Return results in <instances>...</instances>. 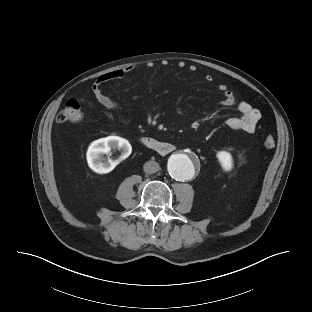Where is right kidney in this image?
Masks as SVG:
<instances>
[{
  "label": "right kidney",
  "instance_id": "right-kidney-1",
  "mask_svg": "<svg viewBox=\"0 0 312 312\" xmlns=\"http://www.w3.org/2000/svg\"><path fill=\"white\" fill-rule=\"evenodd\" d=\"M111 149L121 151V157L127 158L132 147L128 140L119 136H108L93 141L88 147L86 156L88 166L98 174H105L111 171L112 165L109 162H104L103 154H108Z\"/></svg>",
  "mask_w": 312,
  "mask_h": 312
}]
</instances>
